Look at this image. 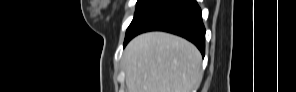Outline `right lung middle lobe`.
<instances>
[{
    "mask_svg": "<svg viewBox=\"0 0 296 92\" xmlns=\"http://www.w3.org/2000/svg\"><path fill=\"white\" fill-rule=\"evenodd\" d=\"M155 0H138L137 2V8L134 15V18L129 25L126 34L130 31L131 27L134 25L136 20L142 15V13L154 2Z\"/></svg>",
    "mask_w": 296,
    "mask_h": 92,
    "instance_id": "dd1d6c3e",
    "label": "right lung middle lobe"
}]
</instances>
